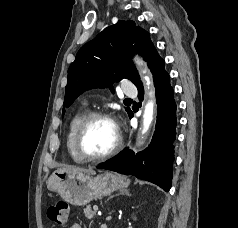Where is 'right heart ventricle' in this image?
Wrapping results in <instances>:
<instances>
[{"mask_svg": "<svg viewBox=\"0 0 238 228\" xmlns=\"http://www.w3.org/2000/svg\"><path fill=\"white\" fill-rule=\"evenodd\" d=\"M87 115V110L85 108L79 110L76 112L73 117L70 119L66 134V148L71 156L72 160L76 163H83L85 162L82 160L78 154L76 153L75 147H74V141H75V134L77 131V128L82 121V119Z\"/></svg>", "mask_w": 238, "mask_h": 228, "instance_id": "e07e8e85", "label": "right heart ventricle"}]
</instances>
